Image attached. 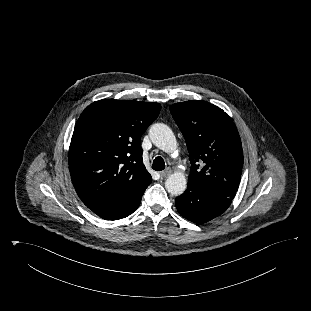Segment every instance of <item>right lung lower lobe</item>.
Listing matches in <instances>:
<instances>
[{
    "mask_svg": "<svg viewBox=\"0 0 311 311\" xmlns=\"http://www.w3.org/2000/svg\"><path fill=\"white\" fill-rule=\"evenodd\" d=\"M141 198L138 199L134 204H132L130 207L126 209L121 210H100V209H94L90 208L95 214L100 216L103 219L106 220H118L127 217L128 215L132 214L140 205Z\"/></svg>",
    "mask_w": 311,
    "mask_h": 311,
    "instance_id": "obj_1",
    "label": "right lung lower lobe"
}]
</instances>
